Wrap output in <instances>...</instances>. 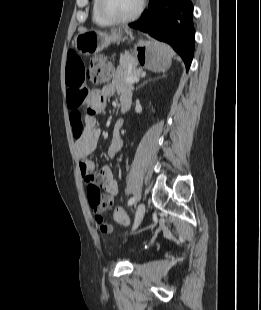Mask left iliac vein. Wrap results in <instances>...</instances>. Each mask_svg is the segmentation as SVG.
<instances>
[{
	"instance_id": "left-iliac-vein-1",
	"label": "left iliac vein",
	"mask_w": 261,
	"mask_h": 310,
	"mask_svg": "<svg viewBox=\"0 0 261 310\" xmlns=\"http://www.w3.org/2000/svg\"><path fill=\"white\" fill-rule=\"evenodd\" d=\"M145 214V205L143 203L139 204L136 212H135V218H134V223L132 226V229L135 230L141 223L143 217Z\"/></svg>"
}]
</instances>
